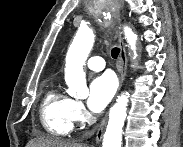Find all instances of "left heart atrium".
<instances>
[{
    "label": "left heart atrium",
    "mask_w": 183,
    "mask_h": 147,
    "mask_svg": "<svg viewBox=\"0 0 183 147\" xmlns=\"http://www.w3.org/2000/svg\"><path fill=\"white\" fill-rule=\"evenodd\" d=\"M117 82L109 73L96 77L90 84L88 107L93 112H101L113 98Z\"/></svg>",
    "instance_id": "left-heart-atrium-1"
}]
</instances>
